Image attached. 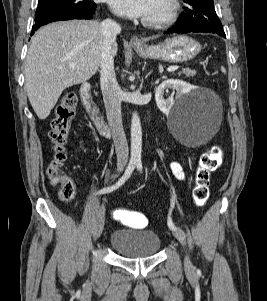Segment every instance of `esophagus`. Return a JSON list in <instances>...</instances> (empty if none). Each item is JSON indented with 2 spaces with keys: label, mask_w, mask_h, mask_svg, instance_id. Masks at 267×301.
Wrapping results in <instances>:
<instances>
[{
  "label": "esophagus",
  "mask_w": 267,
  "mask_h": 301,
  "mask_svg": "<svg viewBox=\"0 0 267 301\" xmlns=\"http://www.w3.org/2000/svg\"><path fill=\"white\" fill-rule=\"evenodd\" d=\"M130 44L133 47H142L144 45V42L140 38H138L137 36H133L130 39Z\"/></svg>",
  "instance_id": "obj_1"
}]
</instances>
